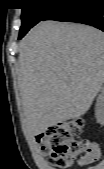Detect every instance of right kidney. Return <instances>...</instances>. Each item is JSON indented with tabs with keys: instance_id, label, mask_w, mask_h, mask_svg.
<instances>
[{
	"instance_id": "obj_1",
	"label": "right kidney",
	"mask_w": 104,
	"mask_h": 169,
	"mask_svg": "<svg viewBox=\"0 0 104 169\" xmlns=\"http://www.w3.org/2000/svg\"><path fill=\"white\" fill-rule=\"evenodd\" d=\"M95 116L97 122L102 124L104 121V91L103 90L99 94L96 101Z\"/></svg>"
}]
</instances>
